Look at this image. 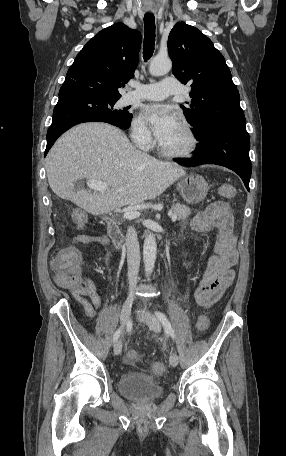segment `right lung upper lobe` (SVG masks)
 <instances>
[{"instance_id":"cb5924a9","label":"right lung upper lobe","mask_w":286,"mask_h":456,"mask_svg":"<svg viewBox=\"0 0 286 456\" xmlns=\"http://www.w3.org/2000/svg\"><path fill=\"white\" fill-rule=\"evenodd\" d=\"M141 34L123 23L109 26L76 56L62 86H78L106 100H118V88L134 77Z\"/></svg>"}]
</instances>
